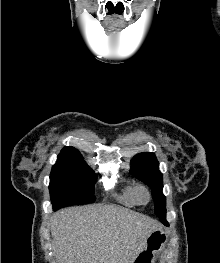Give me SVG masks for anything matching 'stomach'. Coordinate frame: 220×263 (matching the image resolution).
<instances>
[{
	"mask_svg": "<svg viewBox=\"0 0 220 263\" xmlns=\"http://www.w3.org/2000/svg\"><path fill=\"white\" fill-rule=\"evenodd\" d=\"M168 240L167 233L156 229L148 233L143 248L134 259L133 263H154L155 256L161 252Z\"/></svg>",
	"mask_w": 220,
	"mask_h": 263,
	"instance_id": "obj_1",
	"label": "stomach"
}]
</instances>
